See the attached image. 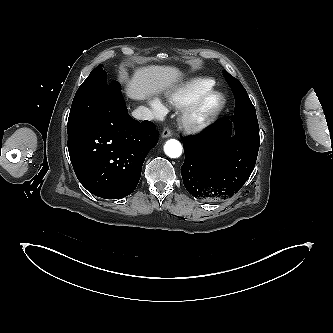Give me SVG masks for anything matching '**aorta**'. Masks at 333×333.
Wrapping results in <instances>:
<instances>
[{
	"label": "aorta",
	"instance_id": "aorta-1",
	"mask_svg": "<svg viewBox=\"0 0 333 333\" xmlns=\"http://www.w3.org/2000/svg\"><path fill=\"white\" fill-rule=\"evenodd\" d=\"M164 151L170 158H178L182 154V145L178 140L170 139L165 143Z\"/></svg>",
	"mask_w": 333,
	"mask_h": 333
}]
</instances>
